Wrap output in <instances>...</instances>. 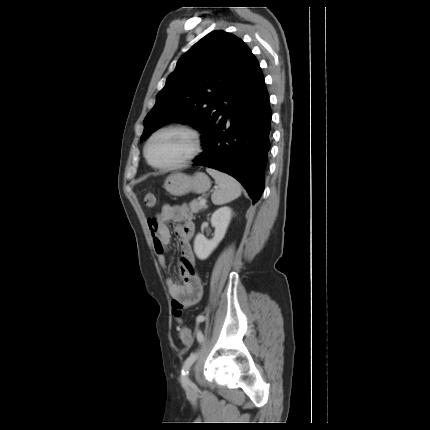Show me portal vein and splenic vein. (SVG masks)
I'll list each match as a JSON object with an SVG mask.
<instances>
[{"instance_id": "1", "label": "portal vein and splenic vein", "mask_w": 430, "mask_h": 430, "mask_svg": "<svg viewBox=\"0 0 430 430\" xmlns=\"http://www.w3.org/2000/svg\"><path fill=\"white\" fill-rule=\"evenodd\" d=\"M205 203H206V199L205 198H203V199L200 200V204L201 205H204Z\"/></svg>"}]
</instances>
